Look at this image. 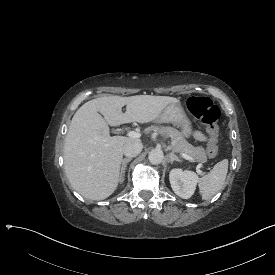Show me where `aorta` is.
Listing matches in <instances>:
<instances>
[{"instance_id":"762f6f07","label":"aorta","mask_w":275,"mask_h":275,"mask_svg":"<svg viewBox=\"0 0 275 275\" xmlns=\"http://www.w3.org/2000/svg\"><path fill=\"white\" fill-rule=\"evenodd\" d=\"M164 158L163 151L160 149H153L150 151L148 159L152 164H160Z\"/></svg>"}]
</instances>
